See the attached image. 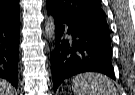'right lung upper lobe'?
Returning <instances> with one entry per match:
<instances>
[{"instance_id": "cb5924a9", "label": "right lung upper lobe", "mask_w": 135, "mask_h": 95, "mask_svg": "<svg viewBox=\"0 0 135 95\" xmlns=\"http://www.w3.org/2000/svg\"><path fill=\"white\" fill-rule=\"evenodd\" d=\"M19 13L18 0H0V19L16 18Z\"/></svg>"}]
</instances>
